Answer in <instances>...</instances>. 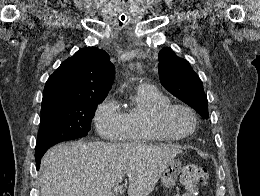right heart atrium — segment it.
Segmentation results:
<instances>
[{"instance_id": "right-heart-atrium-1", "label": "right heart atrium", "mask_w": 260, "mask_h": 196, "mask_svg": "<svg viewBox=\"0 0 260 196\" xmlns=\"http://www.w3.org/2000/svg\"><path fill=\"white\" fill-rule=\"evenodd\" d=\"M94 122L100 135V139L96 143H111L116 131L124 126L123 114L113 97L106 96L97 105ZM133 192H143V190H133Z\"/></svg>"}]
</instances>
